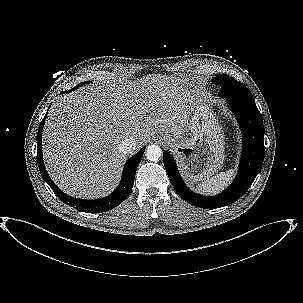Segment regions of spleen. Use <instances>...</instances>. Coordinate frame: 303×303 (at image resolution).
Returning a JSON list of instances; mask_svg holds the SVG:
<instances>
[{
	"instance_id": "3e777b00",
	"label": "spleen",
	"mask_w": 303,
	"mask_h": 303,
	"mask_svg": "<svg viewBox=\"0 0 303 303\" xmlns=\"http://www.w3.org/2000/svg\"><path fill=\"white\" fill-rule=\"evenodd\" d=\"M235 169H229L226 173L220 172L215 176L197 185V190L204 194H214L223 189L233 177Z\"/></svg>"
}]
</instances>
